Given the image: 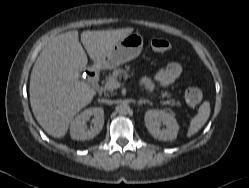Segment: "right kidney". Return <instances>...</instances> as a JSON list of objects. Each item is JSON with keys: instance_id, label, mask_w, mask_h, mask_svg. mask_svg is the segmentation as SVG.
Listing matches in <instances>:
<instances>
[{"instance_id": "1", "label": "right kidney", "mask_w": 249, "mask_h": 188, "mask_svg": "<svg viewBox=\"0 0 249 188\" xmlns=\"http://www.w3.org/2000/svg\"><path fill=\"white\" fill-rule=\"evenodd\" d=\"M93 117V126L88 128L86 122ZM104 111L100 107L88 108L78 114L70 124V135L74 140L94 138L103 128Z\"/></svg>"}]
</instances>
